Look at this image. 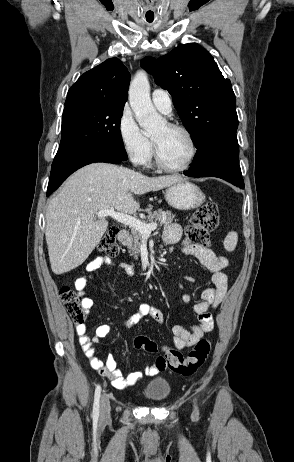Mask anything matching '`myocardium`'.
I'll return each mask as SVG.
<instances>
[{
  "label": "myocardium",
  "instance_id": "myocardium-1",
  "mask_svg": "<svg viewBox=\"0 0 294 462\" xmlns=\"http://www.w3.org/2000/svg\"><path fill=\"white\" fill-rule=\"evenodd\" d=\"M166 125L170 129L179 130V131L183 132L187 136V138H188V140L190 142V145H191V153H190V156H189L188 160L183 165H181V166L167 165V164H165L163 162V160L161 158L158 143L156 142V140L154 138H152L154 163H155L156 167H158L160 170H163L165 172L174 173V172L186 171L187 169H189L191 167V165L193 164V162L195 161V159H196V157L198 155V150L199 149H198V144H197L196 138H195L194 134L192 133V131L183 124L175 123V122H166Z\"/></svg>",
  "mask_w": 294,
  "mask_h": 462
}]
</instances>
